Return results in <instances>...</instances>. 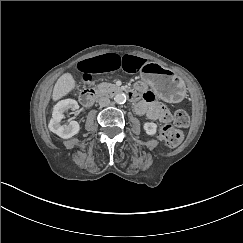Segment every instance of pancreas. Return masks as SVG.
<instances>
[{
    "mask_svg": "<svg viewBox=\"0 0 243 243\" xmlns=\"http://www.w3.org/2000/svg\"><path fill=\"white\" fill-rule=\"evenodd\" d=\"M115 88H117V86L115 84H111V83H107V82H103L98 85V89L100 92H109V91L114 90Z\"/></svg>",
    "mask_w": 243,
    "mask_h": 243,
    "instance_id": "cf45deb5",
    "label": "pancreas"
}]
</instances>
